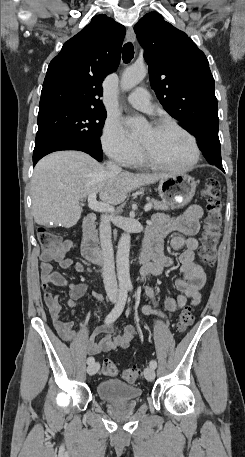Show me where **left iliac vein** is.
Instances as JSON below:
<instances>
[{
  "instance_id": "4c4485c4",
  "label": "left iliac vein",
  "mask_w": 245,
  "mask_h": 457,
  "mask_svg": "<svg viewBox=\"0 0 245 457\" xmlns=\"http://www.w3.org/2000/svg\"><path fill=\"white\" fill-rule=\"evenodd\" d=\"M144 373H145V378L147 381H153L155 379V372H154L153 368L147 367L144 370Z\"/></svg>"
}]
</instances>
